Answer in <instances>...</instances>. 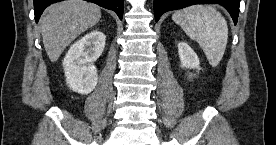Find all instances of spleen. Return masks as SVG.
Segmentation results:
<instances>
[{
  "mask_svg": "<svg viewBox=\"0 0 276 145\" xmlns=\"http://www.w3.org/2000/svg\"><path fill=\"white\" fill-rule=\"evenodd\" d=\"M172 19L199 43L210 65L216 67L225 53L228 40V26L221 13L210 5H192L176 11Z\"/></svg>",
  "mask_w": 276,
  "mask_h": 145,
  "instance_id": "1",
  "label": "spleen"
}]
</instances>
